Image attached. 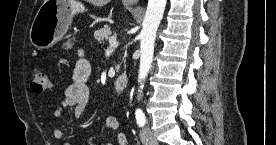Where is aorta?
I'll return each mask as SVG.
<instances>
[{
  "label": "aorta",
  "instance_id": "obj_1",
  "mask_svg": "<svg viewBox=\"0 0 276 145\" xmlns=\"http://www.w3.org/2000/svg\"><path fill=\"white\" fill-rule=\"evenodd\" d=\"M167 0H149L140 33V66L138 82L143 88V81L146 79L153 62L154 44L156 32L163 18Z\"/></svg>",
  "mask_w": 276,
  "mask_h": 145
}]
</instances>
